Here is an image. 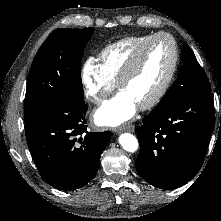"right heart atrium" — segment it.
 Segmentation results:
<instances>
[{
  "instance_id": "d8ad5b80",
  "label": "right heart atrium",
  "mask_w": 221,
  "mask_h": 221,
  "mask_svg": "<svg viewBox=\"0 0 221 221\" xmlns=\"http://www.w3.org/2000/svg\"><path fill=\"white\" fill-rule=\"evenodd\" d=\"M81 78L85 97L93 104H101L115 88V83L92 57L83 63Z\"/></svg>"
}]
</instances>
